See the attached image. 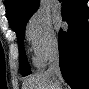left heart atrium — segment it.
<instances>
[{"label": "left heart atrium", "mask_w": 89, "mask_h": 89, "mask_svg": "<svg viewBox=\"0 0 89 89\" xmlns=\"http://www.w3.org/2000/svg\"><path fill=\"white\" fill-rule=\"evenodd\" d=\"M55 22H56L57 27H60L62 25L61 24V19L59 17L55 18Z\"/></svg>", "instance_id": "obj_1"}]
</instances>
